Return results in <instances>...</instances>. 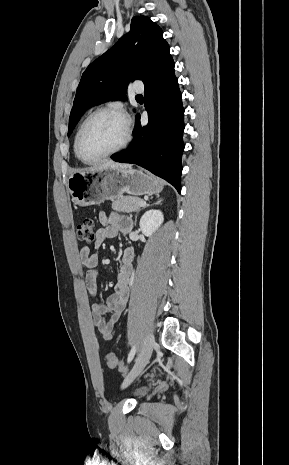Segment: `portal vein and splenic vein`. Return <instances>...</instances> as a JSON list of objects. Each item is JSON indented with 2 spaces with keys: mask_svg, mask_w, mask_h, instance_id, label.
I'll use <instances>...</instances> for the list:
<instances>
[{
  "mask_svg": "<svg viewBox=\"0 0 289 465\" xmlns=\"http://www.w3.org/2000/svg\"><path fill=\"white\" fill-rule=\"evenodd\" d=\"M139 204H140L141 206H144V205H146V202L142 200V201H140Z\"/></svg>",
  "mask_w": 289,
  "mask_h": 465,
  "instance_id": "1",
  "label": "portal vein and splenic vein"
}]
</instances>
